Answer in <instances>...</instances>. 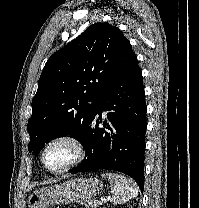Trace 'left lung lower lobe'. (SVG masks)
Listing matches in <instances>:
<instances>
[{
    "instance_id": "1",
    "label": "left lung lower lobe",
    "mask_w": 199,
    "mask_h": 208,
    "mask_svg": "<svg viewBox=\"0 0 199 208\" xmlns=\"http://www.w3.org/2000/svg\"><path fill=\"white\" fill-rule=\"evenodd\" d=\"M102 111L107 112L104 128ZM142 72L134 56L124 71L100 95L86 140L87 159L72 173L108 169L132 177L144 188L146 121Z\"/></svg>"
}]
</instances>
